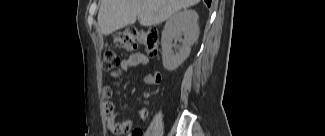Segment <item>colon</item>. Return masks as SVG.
Segmentation results:
<instances>
[{
	"label": "colon",
	"instance_id": "colon-1",
	"mask_svg": "<svg viewBox=\"0 0 325 136\" xmlns=\"http://www.w3.org/2000/svg\"><path fill=\"white\" fill-rule=\"evenodd\" d=\"M114 44L116 47L130 52L142 46L150 55H155L158 51L159 35L155 29L129 27L115 34ZM119 63L120 58L113 49L105 51L102 62L104 70H112L118 66ZM128 136H142V132L139 129H135L132 130Z\"/></svg>",
	"mask_w": 325,
	"mask_h": 136
}]
</instances>
